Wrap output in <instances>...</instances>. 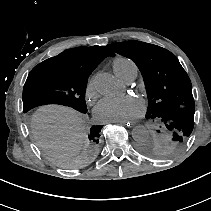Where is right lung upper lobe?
I'll return each mask as SVG.
<instances>
[{"label":"right lung upper lobe","mask_w":211,"mask_h":211,"mask_svg":"<svg viewBox=\"0 0 211 211\" xmlns=\"http://www.w3.org/2000/svg\"><path fill=\"white\" fill-rule=\"evenodd\" d=\"M108 56L113 57L115 54L104 46L77 47L67 49L43 62L73 66L92 72Z\"/></svg>","instance_id":"1"}]
</instances>
